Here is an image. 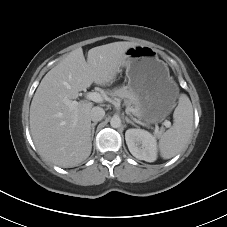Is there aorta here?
<instances>
[{"instance_id": "aorta-1", "label": "aorta", "mask_w": 227, "mask_h": 227, "mask_svg": "<svg viewBox=\"0 0 227 227\" xmlns=\"http://www.w3.org/2000/svg\"><path fill=\"white\" fill-rule=\"evenodd\" d=\"M110 125L113 128H119L121 126V119L117 116H114L110 120Z\"/></svg>"}]
</instances>
